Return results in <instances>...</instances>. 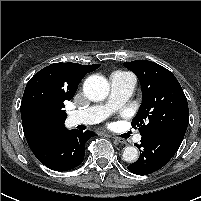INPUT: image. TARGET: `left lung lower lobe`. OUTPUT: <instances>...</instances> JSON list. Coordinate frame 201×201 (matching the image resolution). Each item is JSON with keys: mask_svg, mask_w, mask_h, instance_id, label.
<instances>
[{"mask_svg": "<svg viewBox=\"0 0 201 201\" xmlns=\"http://www.w3.org/2000/svg\"><path fill=\"white\" fill-rule=\"evenodd\" d=\"M184 135L182 131L168 130L142 136L141 144H135L140 150V157L128 166V170L138 175L159 170L177 152Z\"/></svg>", "mask_w": 201, "mask_h": 201, "instance_id": "left-lung-lower-lobe-1", "label": "left lung lower lobe"}]
</instances>
